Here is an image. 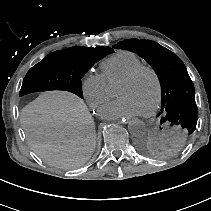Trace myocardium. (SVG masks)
<instances>
[{
    "instance_id": "obj_1",
    "label": "myocardium",
    "mask_w": 211,
    "mask_h": 211,
    "mask_svg": "<svg viewBox=\"0 0 211 211\" xmlns=\"http://www.w3.org/2000/svg\"><path fill=\"white\" fill-rule=\"evenodd\" d=\"M142 72L150 73L156 83L155 101L149 110L142 112L143 116L148 117V116H152L153 114H155L158 111V109L160 108L161 102H162V98H163V85H162V81H161V78H160L158 72L152 66L140 65V66L134 68L133 70H131L129 73H127L122 78H120V82L132 81Z\"/></svg>"
}]
</instances>
